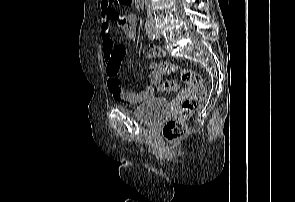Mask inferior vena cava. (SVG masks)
<instances>
[{
  "label": "inferior vena cava",
  "mask_w": 295,
  "mask_h": 202,
  "mask_svg": "<svg viewBox=\"0 0 295 202\" xmlns=\"http://www.w3.org/2000/svg\"><path fill=\"white\" fill-rule=\"evenodd\" d=\"M147 17L149 19H152L153 18L150 8H148V10H147Z\"/></svg>",
  "instance_id": "1"
}]
</instances>
